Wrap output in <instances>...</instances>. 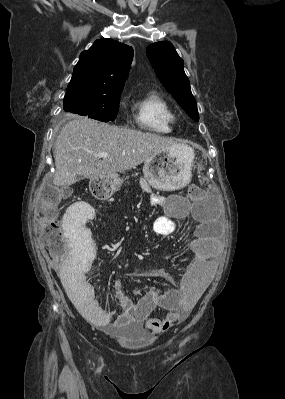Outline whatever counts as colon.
<instances>
[{
    "label": "colon",
    "instance_id": "1",
    "mask_svg": "<svg viewBox=\"0 0 285 399\" xmlns=\"http://www.w3.org/2000/svg\"><path fill=\"white\" fill-rule=\"evenodd\" d=\"M205 181V179H203ZM96 192L95 187H92ZM68 191L57 186L46 187L40 197L38 206V220L36 225L37 234L44 240L47 250L59 264L66 263L70 253L73 255L77 252V246L69 247L62 224L57 215L58 207L67 197ZM204 195V190L196 185L188 189V196L192 200H199ZM91 218H89L90 222ZM92 252V249H90ZM148 327L156 325L155 319L147 321Z\"/></svg>",
    "mask_w": 285,
    "mask_h": 399
}]
</instances>
